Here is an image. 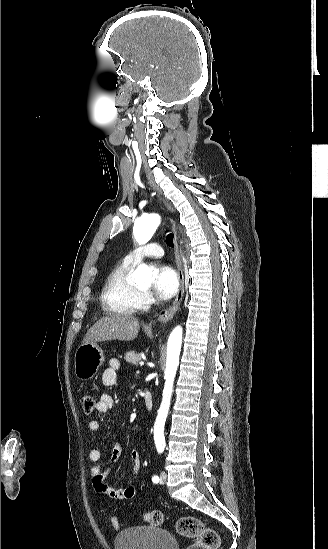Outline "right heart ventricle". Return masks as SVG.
I'll use <instances>...</instances> for the list:
<instances>
[{"mask_svg":"<svg viewBox=\"0 0 328 549\" xmlns=\"http://www.w3.org/2000/svg\"><path fill=\"white\" fill-rule=\"evenodd\" d=\"M137 261L126 257L106 280L101 294L104 319H137V313L147 301L130 279Z\"/></svg>","mask_w":328,"mask_h":549,"instance_id":"e07e8e85","label":"right heart ventricle"}]
</instances>
